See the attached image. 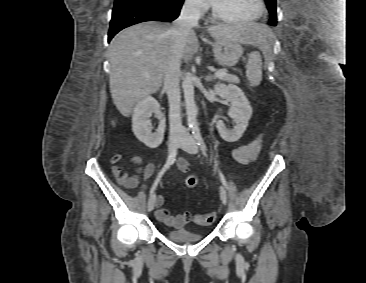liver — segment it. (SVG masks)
Segmentation results:
<instances>
[{"instance_id":"6515ba94","label":"liver","mask_w":366,"mask_h":283,"mask_svg":"<svg viewBox=\"0 0 366 283\" xmlns=\"http://www.w3.org/2000/svg\"><path fill=\"white\" fill-rule=\"evenodd\" d=\"M171 25L157 21L143 22L119 32L109 45L111 63L110 92L116 108L130 116L136 102L156 93L163 82L168 57L174 43ZM214 38H226L263 49L270 30L253 23L221 24L207 28ZM196 33L191 30L182 50L185 63L198 51Z\"/></svg>"}]
</instances>
